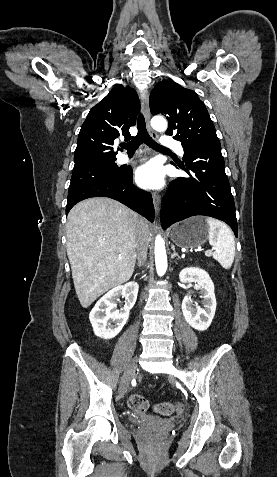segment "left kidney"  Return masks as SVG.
<instances>
[{"label": "left kidney", "instance_id": "left-kidney-1", "mask_svg": "<svg viewBox=\"0 0 277 477\" xmlns=\"http://www.w3.org/2000/svg\"><path fill=\"white\" fill-rule=\"evenodd\" d=\"M182 283H197V289L203 298L204 308L193 307L190 296L186 295L182 301V313L186 322L198 331L206 330L215 315L216 298L214 284L209 274L200 268H184L179 274Z\"/></svg>", "mask_w": 277, "mask_h": 477}]
</instances>
